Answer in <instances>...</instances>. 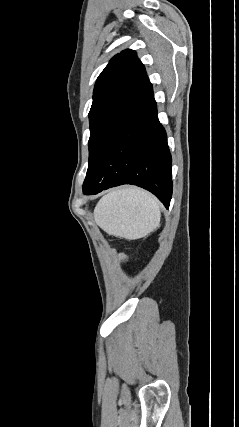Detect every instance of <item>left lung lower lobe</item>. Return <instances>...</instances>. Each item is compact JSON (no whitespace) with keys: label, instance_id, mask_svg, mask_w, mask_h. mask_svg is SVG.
<instances>
[{"label":"left lung lower lobe","instance_id":"1","mask_svg":"<svg viewBox=\"0 0 239 427\" xmlns=\"http://www.w3.org/2000/svg\"><path fill=\"white\" fill-rule=\"evenodd\" d=\"M171 154L167 135L157 117L154 97L117 131L99 158L85 195L133 184L169 207L172 196Z\"/></svg>","mask_w":239,"mask_h":427}]
</instances>
